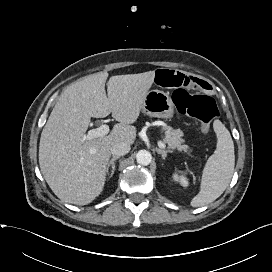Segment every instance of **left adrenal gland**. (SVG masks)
<instances>
[{"label":"left adrenal gland","mask_w":272,"mask_h":272,"mask_svg":"<svg viewBox=\"0 0 272 272\" xmlns=\"http://www.w3.org/2000/svg\"><path fill=\"white\" fill-rule=\"evenodd\" d=\"M156 151L158 154L162 155V158L164 160L166 159L168 153H172V150H163V149H159V148H156Z\"/></svg>","instance_id":"a2214340"}]
</instances>
